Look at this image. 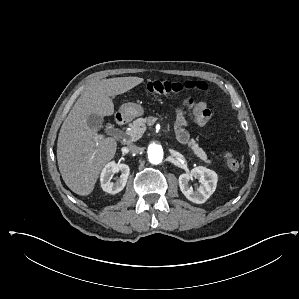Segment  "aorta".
<instances>
[{
  "label": "aorta",
  "instance_id": "obj_1",
  "mask_svg": "<svg viewBox=\"0 0 299 299\" xmlns=\"http://www.w3.org/2000/svg\"><path fill=\"white\" fill-rule=\"evenodd\" d=\"M164 154L165 152L163 147L156 142L150 143L147 147V157L149 162L152 164L157 165L161 163L164 158Z\"/></svg>",
  "mask_w": 299,
  "mask_h": 299
}]
</instances>
